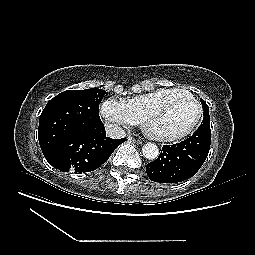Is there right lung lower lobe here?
I'll list each match as a JSON object with an SVG mask.
<instances>
[{
    "mask_svg": "<svg viewBox=\"0 0 255 255\" xmlns=\"http://www.w3.org/2000/svg\"><path fill=\"white\" fill-rule=\"evenodd\" d=\"M126 139L106 137L104 125L98 131L72 130L43 152L54 168L64 172H90L99 168Z\"/></svg>",
    "mask_w": 255,
    "mask_h": 255,
    "instance_id": "right-lung-lower-lobe-1",
    "label": "right lung lower lobe"
}]
</instances>
